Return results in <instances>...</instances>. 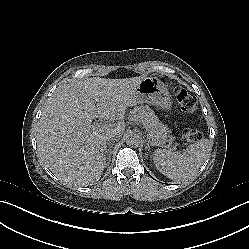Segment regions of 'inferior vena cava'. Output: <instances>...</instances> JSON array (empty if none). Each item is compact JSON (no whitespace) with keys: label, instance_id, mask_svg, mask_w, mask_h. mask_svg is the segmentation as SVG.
<instances>
[{"label":"inferior vena cava","instance_id":"obj_1","mask_svg":"<svg viewBox=\"0 0 249 249\" xmlns=\"http://www.w3.org/2000/svg\"><path fill=\"white\" fill-rule=\"evenodd\" d=\"M120 137V135L117 132L109 133L104 136V141L107 143L108 141H114L117 140Z\"/></svg>","mask_w":249,"mask_h":249}]
</instances>
